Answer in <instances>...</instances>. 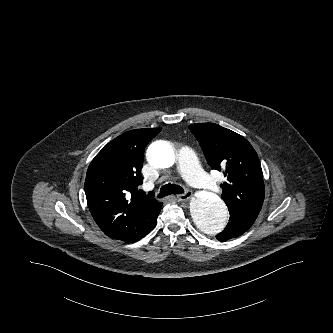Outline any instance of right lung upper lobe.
Instances as JSON below:
<instances>
[{"label":"right lung upper lobe","instance_id":"right-lung-upper-lobe-1","mask_svg":"<svg viewBox=\"0 0 333 333\" xmlns=\"http://www.w3.org/2000/svg\"><path fill=\"white\" fill-rule=\"evenodd\" d=\"M161 128L131 130L109 142L92 160L85 180L90 212L101 230L122 240L159 202L142 196L141 168L147 144Z\"/></svg>","mask_w":333,"mask_h":333}]
</instances>
